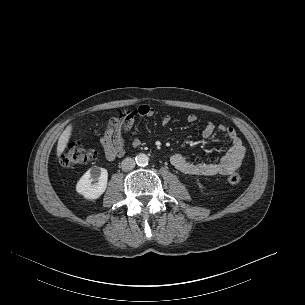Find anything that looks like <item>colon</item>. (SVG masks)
I'll return each mask as SVG.
<instances>
[{
    "mask_svg": "<svg viewBox=\"0 0 305 305\" xmlns=\"http://www.w3.org/2000/svg\"><path fill=\"white\" fill-rule=\"evenodd\" d=\"M97 158V152L86 149L79 142L69 143L61 154V164L64 167H73L93 161ZM241 181V176L237 173L230 174L227 177V182L231 185H237Z\"/></svg>",
    "mask_w": 305,
    "mask_h": 305,
    "instance_id": "1",
    "label": "colon"
}]
</instances>
